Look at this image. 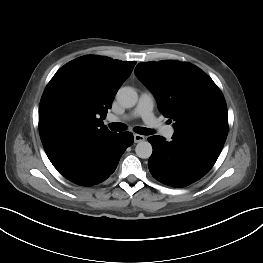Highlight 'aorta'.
Masks as SVG:
<instances>
[{"label": "aorta", "instance_id": "obj_1", "mask_svg": "<svg viewBox=\"0 0 263 263\" xmlns=\"http://www.w3.org/2000/svg\"><path fill=\"white\" fill-rule=\"evenodd\" d=\"M116 99L121 106L131 108L136 105L138 95L133 88L122 87L118 90ZM152 151V145L148 141H140L135 147L136 155L142 159H148Z\"/></svg>", "mask_w": 263, "mask_h": 263}]
</instances>
